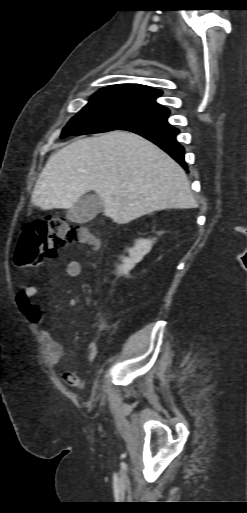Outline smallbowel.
Segmentation results:
<instances>
[{
  "label": "small bowel",
  "mask_w": 247,
  "mask_h": 513,
  "mask_svg": "<svg viewBox=\"0 0 247 513\" xmlns=\"http://www.w3.org/2000/svg\"><path fill=\"white\" fill-rule=\"evenodd\" d=\"M81 273V264L78 260L71 259L65 265V274L69 277H78ZM38 288L36 286H27L21 289L16 296L18 307L25 318L32 324L40 329V334L47 348V362L55 366L60 362L64 355V348L56 342L42 326L44 323V314L33 302L32 298L37 294ZM97 357V350L94 345L87 346L85 350V359L88 362H93ZM64 380L68 385L79 387L81 381L77 375L72 371L64 372Z\"/></svg>",
  "instance_id": "small-bowel-1"
}]
</instances>
